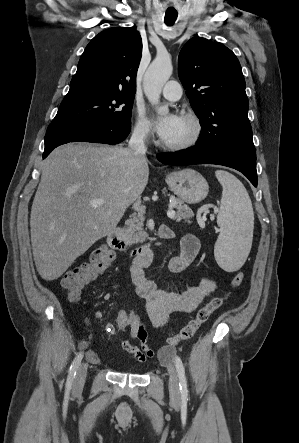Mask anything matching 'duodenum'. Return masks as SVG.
Masks as SVG:
<instances>
[{"label": "duodenum", "instance_id": "duodenum-1", "mask_svg": "<svg viewBox=\"0 0 299 443\" xmlns=\"http://www.w3.org/2000/svg\"><path fill=\"white\" fill-rule=\"evenodd\" d=\"M157 237L161 239H167L169 237V233L164 226H161L158 229ZM107 242L112 249L121 253H129L133 255L136 264L148 266L153 260L154 251L150 243H145L132 248L117 228H113L109 231Z\"/></svg>", "mask_w": 299, "mask_h": 443}]
</instances>
